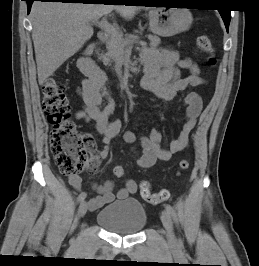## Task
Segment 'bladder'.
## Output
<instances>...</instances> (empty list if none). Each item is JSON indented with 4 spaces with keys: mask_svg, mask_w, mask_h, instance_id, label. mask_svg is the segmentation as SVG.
I'll return each mask as SVG.
<instances>
[{
    "mask_svg": "<svg viewBox=\"0 0 259 266\" xmlns=\"http://www.w3.org/2000/svg\"><path fill=\"white\" fill-rule=\"evenodd\" d=\"M97 223L119 235H134L143 230L147 214L143 205L135 199L117 201L103 207L96 216Z\"/></svg>",
    "mask_w": 259,
    "mask_h": 266,
    "instance_id": "31cf9c89",
    "label": "bladder"
}]
</instances>
